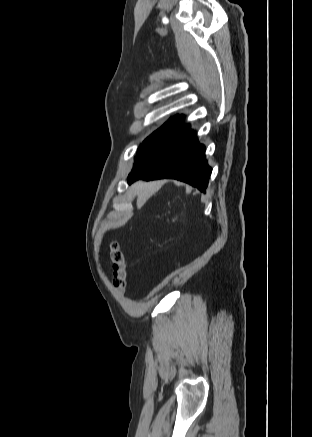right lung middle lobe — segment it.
I'll return each mask as SVG.
<instances>
[{
    "mask_svg": "<svg viewBox=\"0 0 312 437\" xmlns=\"http://www.w3.org/2000/svg\"><path fill=\"white\" fill-rule=\"evenodd\" d=\"M183 116H175L162 127L147 137L138 149V153H144L153 149L161 148L180 137L189 130V125L183 126L180 120Z\"/></svg>",
    "mask_w": 312,
    "mask_h": 437,
    "instance_id": "obj_1",
    "label": "right lung middle lobe"
}]
</instances>
